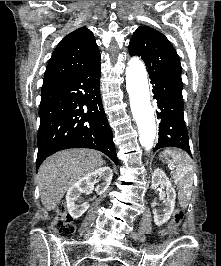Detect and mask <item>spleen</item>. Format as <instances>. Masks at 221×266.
<instances>
[{
  "mask_svg": "<svg viewBox=\"0 0 221 266\" xmlns=\"http://www.w3.org/2000/svg\"><path fill=\"white\" fill-rule=\"evenodd\" d=\"M176 164L174 183L179 189V196L183 206H186L192 195L193 168L187 153L177 149H166Z\"/></svg>",
  "mask_w": 221,
  "mask_h": 266,
  "instance_id": "3e777b00",
  "label": "spleen"
}]
</instances>
